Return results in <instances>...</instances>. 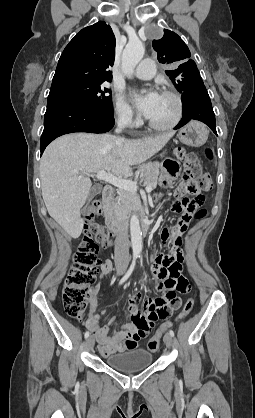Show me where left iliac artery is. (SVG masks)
<instances>
[{
    "label": "left iliac artery",
    "instance_id": "obj_1",
    "mask_svg": "<svg viewBox=\"0 0 255 418\" xmlns=\"http://www.w3.org/2000/svg\"><path fill=\"white\" fill-rule=\"evenodd\" d=\"M169 334H170L172 337H174V331H173V330H170V331H169Z\"/></svg>",
    "mask_w": 255,
    "mask_h": 418
}]
</instances>
